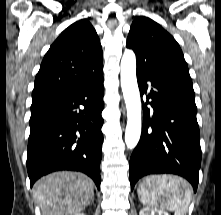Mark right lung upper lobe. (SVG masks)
Here are the masks:
<instances>
[{
  "label": "right lung upper lobe",
  "mask_w": 221,
  "mask_h": 215,
  "mask_svg": "<svg viewBox=\"0 0 221 215\" xmlns=\"http://www.w3.org/2000/svg\"><path fill=\"white\" fill-rule=\"evenodd\" d=\"M100 40L91 23L81 19L51 45L36 75L31 108L84 86L103 75Z\"/></svg>",
  "instance_id": "cb5924a9"
}]
</instances>
